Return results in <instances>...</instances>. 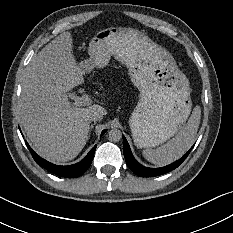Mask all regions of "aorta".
<instances>
[{
  "label": "aorta",
  "instance_id": "1",
  "mask_svg": "<svg viewBox=\"0 0 233 233\" xmlns=\"http://www.w3.org/2000/svg\"><path fill=\"white\" fill-rule=\"evenodd\" d=\"M109 138L111 141L118 142L122 138V132L118 128H111L109 131Z\"/></svg>",
  "mask_w": 233,
  "mask_h": 233
}]
</instances>
